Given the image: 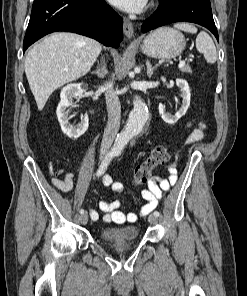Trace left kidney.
Returning a JSON list of instances; mask_svg holds the SVG:
<instances>
[{"label":"left kidney","mask_w":247,"mask_h":296,"mask_svg":"<svg viewBox=\"0 0 247 296\" xmlns=\"http://www.w3.org/2000/svg\"><path fill=\"white\" fill-rule=\"evenodd\" d=\"M176 85L181 90L182 105L175 115H171L170 113L166 112L165 106L163 104H159V114L161 115V118L168 124H175L182 116L185 115L190 105L191 94L188 83L183 79H177Z\"/></svg>","instance_id":"5707ae66"}]
</instances>
